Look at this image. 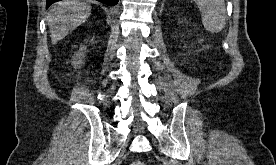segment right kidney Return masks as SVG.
Masks as SVG:
<instances>
[{
  "label": "right kidney",
  "mask_w": 276,
  "mask_h": 165,
  "mask_svg": "<svg viewBox=\"0 0 276 165\" xmlns=\"http://www.w3.org/2000/svg\"><path fill=\"white\" fill-rule=\"evenodd\" d=\"M86 49L87 48L85 46H81L79 51L74 54L73 61H72V65L74 67H79L80 65L83 64V59L85 58Z\"/></svg>",
  "instance_id": "1"
}]
</instances>
